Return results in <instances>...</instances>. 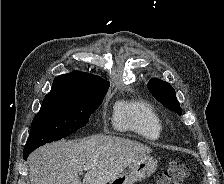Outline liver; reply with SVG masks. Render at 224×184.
I'll return each mask as SVG.
<instances>
[{"label":"liver","instance_id":"1","mask_svg":"<svg viewBox=\"0 0 224 184\" xmlns=\"http://www.w3.org/2000/svg\"><path fill=\"white\" fill-rule=\"evenodd\" d=\"M151 148L125 138L93 135L60 140L36 149L29 157L31 184H106ZM86 169L81 182L78 174Z\"/></svg>","mask_w":224,"mask_h":184}]
</instances>
